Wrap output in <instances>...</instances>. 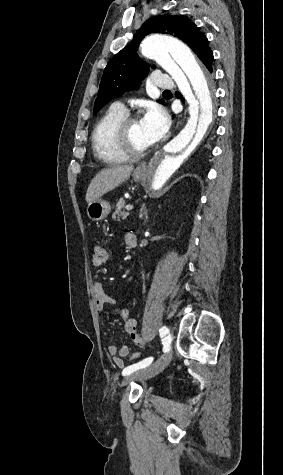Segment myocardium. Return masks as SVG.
Returning a JSON list of instances; mask_svg holds the SVG:
<instances>
[{"mask_svg": "<svg viewBox=\"0 0 283 475\" xmlns=\"http://www.w3.org/2000/svg\"><path fill=\"white\" fill-rule=\"evenodd\" d=\"M138 119L137 114H127V116L117 124L113 130L112 140L116 143H125L130 145L131 126ZM152 149V145L146 150H133L131 154L111 155L104 151L103 147L98 150L99 157L105 162H131L134 163L145 158Z\"/></svg>", "mask_w": 283, "mask_h": 475, "instance_id": "myocardium-1", "label": "myocardium"}]
</instances>
